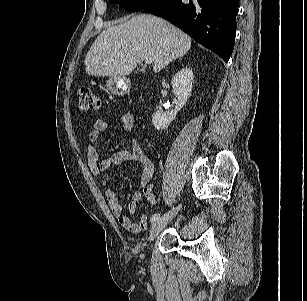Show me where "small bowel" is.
I'll return each instance as SVG.
<instances>
[{"instance_id": "1", "label": "small bowel", "mask_w": 307, "mask_h": 301, "mask_svg": "<svg viewBox=\"0 0 307 301\" xmlns=\"http://www.w3.org/2000/svg\"><path fill=\"white\" fill-rule=\"evenodd\" d=\"M122 127L127 132H133L136 129L134 116L130 112H123L120 116ZM109 125L104 120H97L92 130L88 134V145L86 147L87 166L93 176L98 177L100 173L109 171L112 167L120 166L124 162H135L142 166L140 176L141 192H134L128 204V214H123V206L119 200L118 194L114 189H107L105 196L112 214L118 219L120 225L133 234H139L149 226L147 215L141 214L138 221L134 220V215L142 202L143 195L151 204H157L159 197L152 191L151 181L154 174V164L145 154L137 141H133L129 149L120 150L111 156L99 161L95 143L100 139V134L106 132ZM101 185L105 184L103 179H99Z\"/></svg>"}]
</instances>
